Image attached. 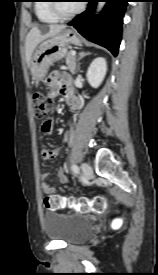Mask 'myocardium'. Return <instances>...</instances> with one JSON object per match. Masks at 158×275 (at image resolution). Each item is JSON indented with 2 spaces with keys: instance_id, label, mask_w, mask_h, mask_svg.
Listing matches in <instances>:
<instances>
[{
  "instance_id": "myocardium-1",
  "label": "myocardium",
  "mask_w": 158,
  "mask_h": 275,
  "mask_svg": "<svg viewBox=\"0 0 158 275\" xmlns=\"http://www.w3.org/2000/svg\"><path fill=\"white\" fill-rule=\"evenodd\" d=\"M51 2H57V1H51ZM51 11L54 13L55 16H57L59 19H70L76 15H78L82 10L84 9V5L80 4L76 9L69 13H65L62 8L61 4L59 3H50Z\"/></svg>"
}]
</instances>
